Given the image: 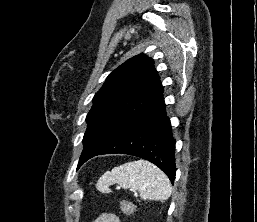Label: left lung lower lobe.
<instances>
[{
  "label": "left lung lower lobe",
  "instance_id": "left-lung-lower-lobe-1",
  "mask_svg": "<svg viewBox=\"0 0 257 222\" xmlns=\"http://www.w3.org/2000/svg\"><path fill=\"white\" fill-rule=\"evenodd\" d=\"M175 143L161 94L88 159L112 153L138 156L158 166L173 184L176 174ZM88 159L82 161L78 167Z\"/></svg>",
  "mask_w": 257,
  "mask_h": 222
}]
</instances>
